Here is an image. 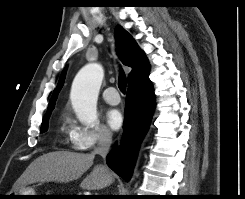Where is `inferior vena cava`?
Masks as SVG:
<instances>
[{"instance_id":"inferior-vena-cava-1","label":"inferior vena cava","mask_w":245,"mask_h":199,"mask_svg":"<svg viewBox=\"0 0 245 199\" xmlns=\"http://www.w3.org/2000/svg\"><path fill=\"white\" fill-rule=\"evenodd\" d=\"M112 143V134L108 130H103L98 135V143L97 147L92 152V155H100L103 158L106 157V155L109 152L110 146Z\"/></svg>"}]
</instances>
